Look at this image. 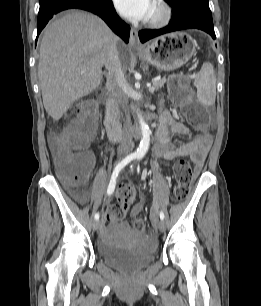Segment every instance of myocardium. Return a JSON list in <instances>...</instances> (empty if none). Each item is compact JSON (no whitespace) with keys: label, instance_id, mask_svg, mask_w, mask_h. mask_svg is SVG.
I'll return each mask as SVG.
<instances>
[{"label":"myocardium","instance_id":"1","mask_svg":"<svg viewBox=\"0 0 261 306\" xmlns=\"http://www.w3.org/2000/svg\"><path fill=\"white\" fill-rule=\"evenodd\" d=\"M154 13L147 17L145 25L152 28H159L167 25L172 18V9L165 0L154 1Z\"/></svg>","mask_w":261,"mask_h":306}]
</instances>
